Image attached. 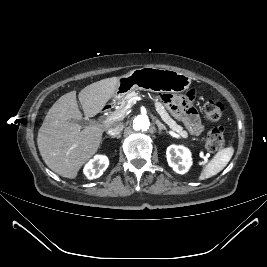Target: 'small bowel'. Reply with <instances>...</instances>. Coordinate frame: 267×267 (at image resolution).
Returning <instances> with one entry per match:
<instances>
[{"label": "small bowel", "mask_w": 267, "mask_h": 267, "mask_svg": "<svg viewBox=\"0 0 267 267\" xmlns=\"http://www.w3.org/2000/svg\"><path fill=\"white\" fill-rule=\"evenodd\" d=\"M192 98V92L186 96L173 93H165L161 96L166 108L180 119L192 134L199 135L203 131V125L191 104Z\"/></svg>", "instance_id": "small-bowel-1"}]
</instances>
